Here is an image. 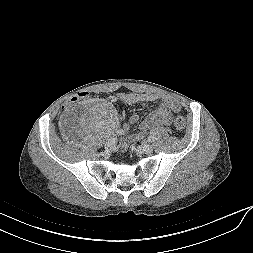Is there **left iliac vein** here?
Here are the masks:
<instances>
[{
	"label": "left iliac vein",
	"instance_id": "4c4485c4",
	"mask_svg": "<svg viewBox=\"0 0 253 253\" xmlns=\"http://www.w3.org/2000/svg\"><path fill=\"white\" fill-rule=\"evenodd\" d=\"M139 151L144 154H149L153 151V146L151 144H143L139 147Z\"/></svg>",
	"mask_w": 253,
	"mask_h": 253
}]
</instances>
